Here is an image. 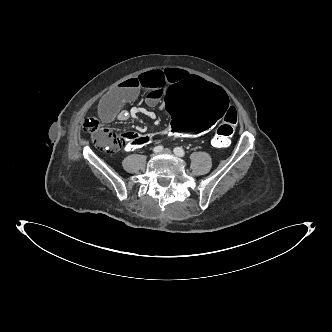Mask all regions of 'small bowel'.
<instances>
[{
    "instance_id": "1",
    "label": "small bowel",
    "mask_w": 332,
    "mask_h": 332,
    "mask_svg": "<svg viewBox=\"0 0 332 332\" xmlns=\"http://www.w3.org/2000/svg\"><path fill=\"white\" fill-rule=\"evenodd\" d=\"M191 78L194 76L180 68L154 69L129 78L101 98L97 111L98 117L103 121H111L115 118L127 120V116L121 112V108L124 104L133 101L141 90L147 91V105L155 106L162 99L169 86ZM135 109V115H148L150 113L143 108ZM231 109L234 108L231 107ZM135 129L140 133L147 130L146 126L143 125H137Z\"/></svg>"
}]
</instances>
